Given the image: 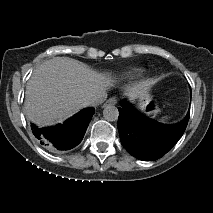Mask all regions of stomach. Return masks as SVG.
I'll use <instances>...</instances> for the list:
<instances>
[{"label": "stomach", "mask_w": 213, "mask_h": 213, "mask_svg": "<svg viewBox=\"0 0 213 213\" xmlns=\"http://www.w3.org/2000/svg\"><path fill=\"white\" fill-rule=\"evenodd\" d=\"M149 101L148 100V97L145 96V97H140V100H139V107L142 109V110H146L147 109V106H149Z\"/></svg>", "instance_id": "0dacf381"}]
</instances>
